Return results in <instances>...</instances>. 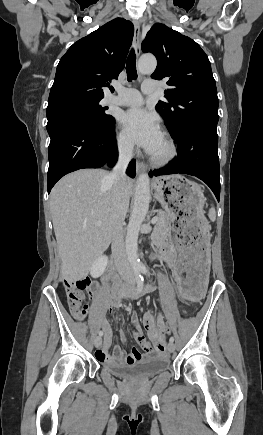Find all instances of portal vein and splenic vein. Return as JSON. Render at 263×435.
<instances>
[{
  "instance_id": "1",
  "label": "portal vein and splenic vein",
  "mask_w": 263,
  "mask_h": 435,
  "mask_svg": "<svg viewBox=\"0 0 263 435\" xmlns=\"http://www.w3.org/2000/svg\"><path fill=\"white\" fill-rule=\"evenodd\" d=\"M157 220H158V216L154 217V218L152 219V221H151L152 225H154V224L157 222ZM96 225H97V226H100L101 223H100V222H97Z\"/></svg>"
}]
</instances>
